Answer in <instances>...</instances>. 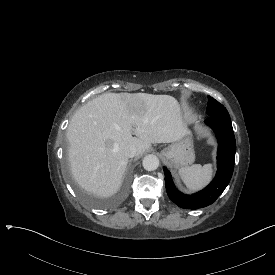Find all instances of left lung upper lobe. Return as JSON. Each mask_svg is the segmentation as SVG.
Listing matches in <instances>:
<instances>
[{
	"instance_id": "5c2ea615",
	"label": "left lung upper lobe",
	"mask_w": 275,
	"mask_h": 275,
	"mask_svg": "<svg viewBox=\"0 0 275 275\" xmlns=\"http://www.w3.org/2000/svg\"><path fill=\"white\" fill-rule=\"evenodd\" d=\"M207 114L210 117H219L226 120H231L226 108L216 101L214 98L208 96Z\"/></svg>"
}]
</instances>
